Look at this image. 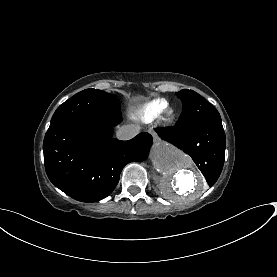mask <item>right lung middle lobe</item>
Wrapping results in <instances>:
<instances>
[{
  "instance_id": "obj_1",
  "label": "right lung middle lobe",
  "mask_w": 277,
  "mask_h": 277,
  "mask_svg": "<svg viewBox=\"0 0 277 277\" xmlns=\"http://www.w3.org/2000/svg\"><path fill=\"white\" fill-rule=\"evenodd\" d=\"M118 114H120V104L115 95L97 89H86L57 108L49 129L76 118Z\"/></svg>"
}]
</instances>
